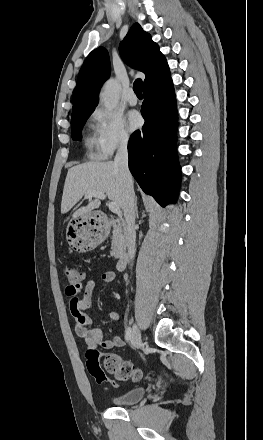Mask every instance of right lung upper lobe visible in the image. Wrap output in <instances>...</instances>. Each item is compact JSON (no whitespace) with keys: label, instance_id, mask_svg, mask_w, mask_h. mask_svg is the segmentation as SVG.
<instances>
[{"label":"right lung upper lobe","instance_id":"obj_1","mask_svg":"<svg viewBox=\"0 0 263 440\" xmlns=\"http://www.w3.org/2000/svg\"><path fill=\"white\" fill-rule=\"evenodd\" d=\"M119 51L125 63L146 75L144 88L170 73L159 46L138 23L130 28L120 43ZM110 71L109 55L104 47H98L88 55L79 72L73 94L72 117L94 111L98 103L99 89L109 77Z\"/></svg>","mask_w":263,"mask_h":440}]
</instances>
